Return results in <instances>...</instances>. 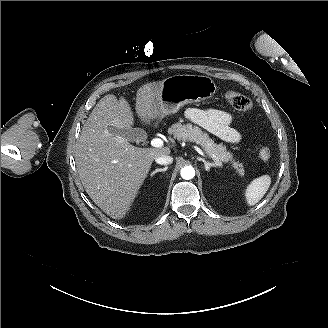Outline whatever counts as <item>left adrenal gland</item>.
Instances as JSON below:
<instances>
[{
  "instance_id": "obj_1",
  "label": "left adrenal gland",
  "mask_w": 328,
  "mask_h": 328,
  "mask_svg": "<svg viewBox=\"0 0 328 328\" xmlns=\"http://www.w3.org/2000/svg\"><path fill=\"white\" fill-rule=\"evenodd\" d=\"M200 161H202L204 163L207 172H210V170L212 168H216V165L210 164V163L206 162L204 159H201Z\"/></svg>"
}]
</instances>
